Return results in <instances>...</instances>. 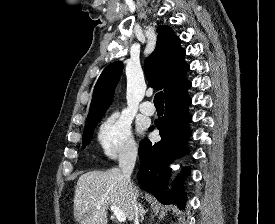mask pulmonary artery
<instances>
[{
	"label": "pulmonary artery",
	"instance_id": "obj_1",
	"mask_svg": "<svg viewBox=\"0 0 275 224\" xmlns=\"http://www.w3.org/2000/svg\"><path fill=\"white\" fill-rule=\"evenodd\" d=\"M140 111L145 115H153L155 113V107L150 101H144L140 104Z\"/></svg>",
	"mask_w": 275,
	"mask_h": 224
}]
</instances>
